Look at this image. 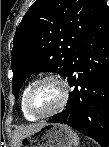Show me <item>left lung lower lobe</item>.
I'll return each instance as SVG.
<instances>
[{"label": "left lung lower lobe", "mask_w": 109, "mask_h": 147, "mask_svg": "<svg viewBox=\"0 0 109 147\" xmlns=\"http://www.w3.org/2000/svg\"><path fill=\"white\" fill-rule=\"evenodd\" d=\"M67 80L72 87L61 115L47 122L64 123L109 144V8L105 7L80 41Z\"/></svg>", "instance_id": "obj_1"}]
</instances>
